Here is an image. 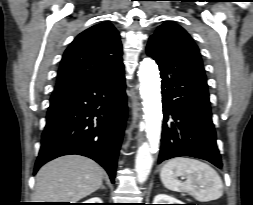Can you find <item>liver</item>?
Wrapping results in <instances>:
<instances>
[{"label": "liver", "mask_w": 253, "mask_h": 205, "mask_svg": "<svg viewBox=\"0 0 253 205\" xmlns=\"http://www.w3.org/2000/svg\"><path fill=\"white\" fill-rule=\"evenodd\" d=\"M102 179L103 170L95 161L79 155L59 157L38 171L34 200L76 203L98 190Z\"/></svg>", "instance_id": "6515ba94"}]
</instances>
